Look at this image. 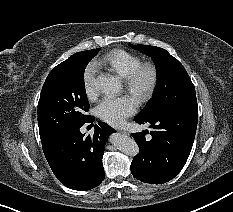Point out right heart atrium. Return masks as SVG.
<instances>
[{"label": "right heart atrium", "mask_w": 233, "mask_h": 212, "mask_svg": "<svg viewBox=\"0 0 233 212\" xmlns=\"http://www.w3.org/2000/svg\"><path fill=\"white\" fill-rule=\"evenodd\" d=\"M95 74L96 67L94 64L90 63L86 66L82 75L84 91L89 99H94L96 96Z\"/></svg>", "instance_id": "1"}]
</instances>
